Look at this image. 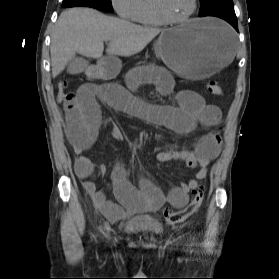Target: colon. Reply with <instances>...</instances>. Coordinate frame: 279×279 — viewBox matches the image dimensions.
I'll return each instance as SVG.
<instances>
[{"label":"colon","mask_w":279,"mask_h":279,"mask_svg":"<svg viewBox=\"0 0 279 279\" xmlns=\"http://www.w3.org/2000/svg\"><path fill=\"white\" fill-rule=\"evenodd\" d=\"M68 83L66 81H60L57 85V98L60 102H63L65 98L68 95L67 91ZM205 90L207 93L214 94V95H220L222 94V89L221 87L215 83V82H210L205 86ZM204 187L199 186L196 189L193 190L192 197L188 205H186L184 208L180 210H171V209H166L164 211V217L165 220L169 224H179L187 219H189L193 214L197 212L199 207L202 204L203 198H204Z\"/></svg>","instance_id":"1"}]
</instances>
